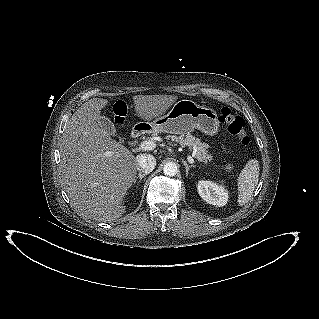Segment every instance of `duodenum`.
<instances>
[{"label": "duodenum", "mask_w": 319, "mask_h": 319, "mask_svg": "<svg viewBox=\"0 0 319 319\" xmlns=\"http://www.w3.org/2000/svg\"><path fill=\"white\" fill-rule=\"evenodd\" d=\"M148 130H150V126L147 124H139L137 125L134 130L132 131V138H137L139 136H141L142 134H144L145 132H147Z\"/></svg>", "instance_id": "obj_1"}]
</instances>
